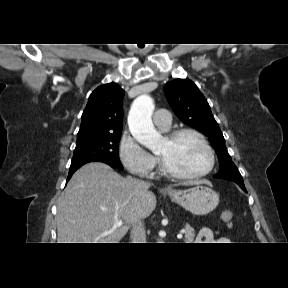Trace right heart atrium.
Masks as SVG:
<instances>
[{"instance_id":"right-heart-atrium-1","label":"right heart atrium","mask_w":288,"mask_h":288,"mask_svg":"<svg viewBox=\"0 0 288 288\" xmlns=\"http://www.w3.org/2000/svg\"><path fill=\"white\" fill-rule=\"evenodd\" d=\"M119 155L125 168L132 174L149 177L155 172L157 159L145 151L129 134L120 141Z\"/></svg>"}]
</instances>
